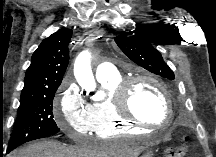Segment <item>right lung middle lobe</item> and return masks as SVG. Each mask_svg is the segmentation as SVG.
Instances as JSON below:
<instances>
[{
  "label": "right lung middle lobe",
  "mask_w": 216,
  "mask_h": 157,
  "mask_svg": "<svg viewBox=\"0 0 216 157\" xmlns=\"http://www.w3.org/2000/svg\"><path fill=\"white\" fill-rule=\"evenodd\" d=\"M56 90L21 98L8 147L15 148L25 142L52 136L59 132L60 129L53 119L52 112Z\"/></svg>",
  "instance_id": "1"
}]
</instances>
